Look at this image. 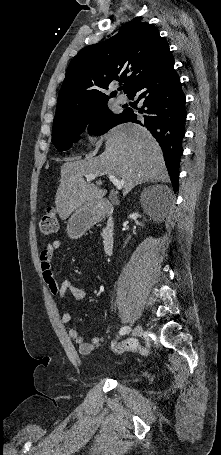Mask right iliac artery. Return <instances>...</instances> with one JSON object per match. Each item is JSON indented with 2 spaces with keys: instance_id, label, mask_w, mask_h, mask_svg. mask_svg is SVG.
I'll return each mask as SVG.
<instances>
[{
  "instance_id": "1",
  "label": "right iliac artery",
  "mask_w": 221,
  "mask_h": 455,
  "mask_svg": "<svg viewBox=\"0 0 221 455\" xmlns=\"http://www.w3.org/2000/svg\"><path fill=\"white\" fill-rule=\"evenodd\" d=\"M131 331V328L129 326H124L120 329L119 333L120 335H125Z\"/></svg>"
}]
</instances>
